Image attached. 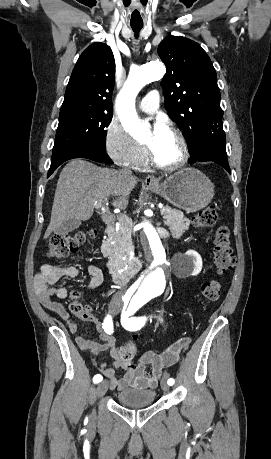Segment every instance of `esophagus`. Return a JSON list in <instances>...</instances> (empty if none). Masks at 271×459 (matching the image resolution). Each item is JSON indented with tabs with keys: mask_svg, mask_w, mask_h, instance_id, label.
Returning a JSON list of instances; mask_svg holds the SVG:
<instances>
[{
	"mask_svg": "<svg viewBox=\"0 0 271 459\" xmlns=\"http://www.w3.org/2000/svg\"><path fill=\"white\" fill-rule=\"evenodd\" d=\"M159 181L154 175H148L145 179V184L152 186V185H158Z\"/></svg>",
	"mask_w": 271,
	"mask_h": 459,
	"instance_id": "obj_1",
	"label": "esophagus"
}]
</instances>
